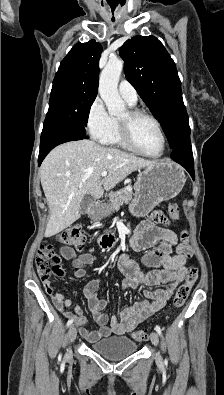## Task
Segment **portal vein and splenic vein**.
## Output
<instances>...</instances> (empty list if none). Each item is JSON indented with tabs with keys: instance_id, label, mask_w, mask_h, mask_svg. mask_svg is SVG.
Segmentation results:
<instances>
[{
	"instance_id": "1",
	"label": "portal vein and splenic vein",
	"mask_w": 224,
	"mask_h": 395,
	"mask_svg": "<svg viewBox=\"0 0 224 395\" xmlns=\"http://www.w3.org/2000/svg\"><path fill=\"white\" fill-rule=\"evenodd\" d=\"M101 176H102V177H106V176H107V172H106V171L102 172V173H101Z\"/></svg>"
}]
</instances>
